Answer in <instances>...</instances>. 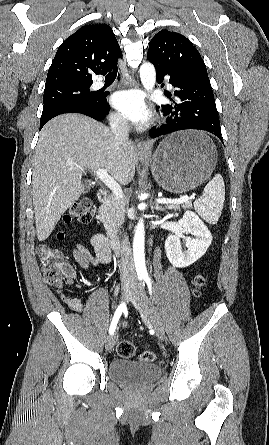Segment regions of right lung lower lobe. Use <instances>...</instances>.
I'll list each match as a JSON object with an SVG mask.
<instances>
[{
  "label": "right lung lower lobe",
  "mask_w": 269,
  "mask_h": 445,
  "mask_svg": "<svg viewBox=\"0 0 269 445\" xmlns=\"http://www.w3.org/2000/svg\"><path fill=\"white\" fill-rule=\"evenodd\" d=\"M117 70V69H116ZM108 93L102 94L98 100V103L89 109H75L67 113H81L86 116L92 117L97 121L104 119L109 110V104L107 103L106 96ZM43 127V126H42ZM40 127V129L42 128Z\"/></svg>",
  "instance_id": "right-lung-lower-lobe-1"
}]
</instances>
